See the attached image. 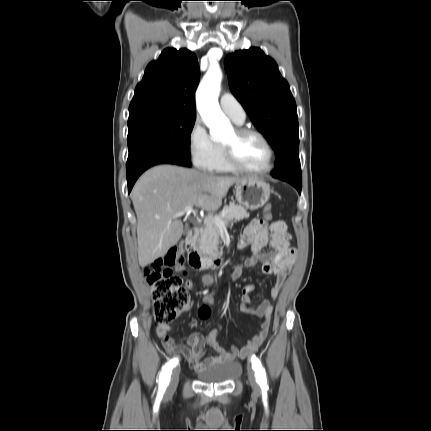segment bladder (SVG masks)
Listing matches in <instances>:
<instances>
[{"label":"bladder","mask_w":431,"mask_h":431,"mask_svg":"<svg viewBox=\"0 0 431 431\" xmlns=\"http://www.w3.org/2000/svg\"><path fill=\"white\" fill-rule=\"evenodd\" d=\"M241 372L237 362H228L197 372V377L205 383H226L235 380Z\"/></svg>","instance_id":"bladder-1"}]
</instances>
